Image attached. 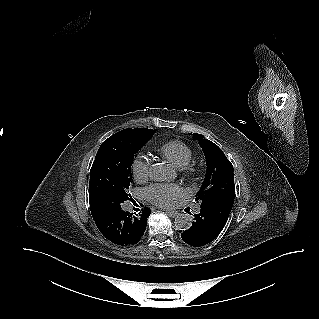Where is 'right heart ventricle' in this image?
Returning <instances> with one entry per match:
<instances>
[{
    "label": "right heart ventricle",
    "mask_w": 319,
    "mask_h": 319,
    "mask_svg": "<svg viewBox=\"0 0 319 319\" xmlns=\"http://www.w3.org/2000/svg\"><path fill=\"white\" fill-rule=\"evenodd\" d=\"M160 152L177 168L186 167L193 157L190 147L179 140H172L163 144L160 147Z\"/></svg>",
    "instance_id": "right-heart-ventricle-1"
}]
</instances>
